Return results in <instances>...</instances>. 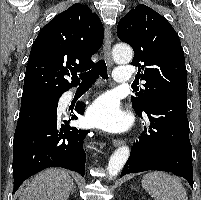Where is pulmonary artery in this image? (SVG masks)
Instances as JSON below:
<instances>
[{
  "instance_id": "obj_1",
  "label": "pulmonary artery",
  "mask_w": 201,
  "mask_h": 200,
  "mask_svg": "<svg viewBox=\"0 0 201 200\" xmlns=\"http://www.w3.org/2000/svg\"><path fill=\"white\" fill-rule=\"evenodd\" d=\"M113 77L117 83H129L132 80V70L127 66H118Z\"/></svg>"
}]
</instances>
